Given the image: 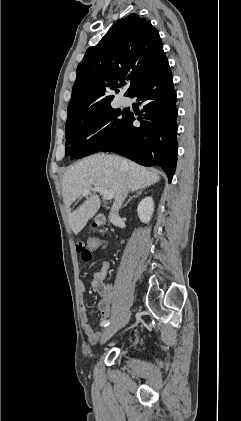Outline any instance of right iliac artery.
Returning <instances> with one entry per match:
<instances>
[{"label": "right iliac artery", "mask_w": 241, "mask_h": 421, "mask_svg": "<svg viewBox=\"0 0 241 421\" xmlns=\"http://www.w3.org/2000/svg\"><path fill=\"white\" fill-rule=\"evenodd\" d=\"M110 324V321L109 320H105V321H103V322H101V326L102 327H107L108 325Z\"/></svg>", "instance_id": "1"}]
</instances>
